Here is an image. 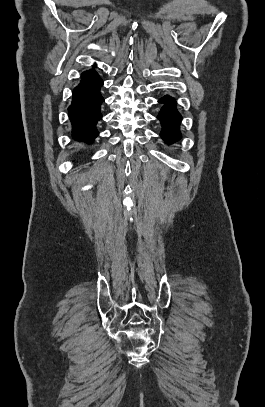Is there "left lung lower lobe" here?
<instances>
[{
	"instance_id": "0a47b994",
	"label": "left lung lower lobe",
	"mask_w": 265,
	"mask_h": 407,
	"mask_svg": "<svg viewBox=\"0 0 265 407\" xmlns=\"http://www.w3.org/2000/svg\"><path fill=\"white\" fill-rule=\"evenodd\" d=\"M159 103L164 104L157 116L163 127L160 136L165 142L174 143L181 137L179 125L182 117L176 109L175 99L171 96H163Z\"/></svg>"
}]
</instances>
